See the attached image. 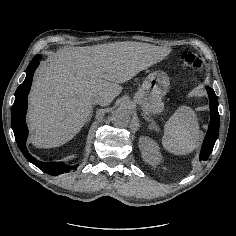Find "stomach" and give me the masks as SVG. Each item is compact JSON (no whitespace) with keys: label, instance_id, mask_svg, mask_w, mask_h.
Segmentation results:
<instances>
[{"label":"stomach","instance_id":"obj_1","mask_svg":"<svg viewBox=\"0 0 236 236\" xmlns=\"http://www.w3.org/2000/svg\"><path fill=\"white\" fill-rule=\"evenodd\" d=\"M169 78L166 73L155 71L143 81L134 100L144 113H159L163 110L162 97L167 93Z\"/></svg>","mask_w":236,"mask_h":236}]
</instances>
